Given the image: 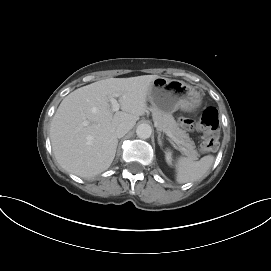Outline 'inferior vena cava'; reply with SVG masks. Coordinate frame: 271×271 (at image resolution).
<instances>
[{"mask_svg": "<svg viewBox=\"0 0 271 271\" xmlns=\"http://www.w3.org/2000/svg\"><path fill=\"white\" fill-rule=\"evenodd\" d=\"M133 125L131 123L123 122L120 123L116 128V136L118 138L123 137L125 134H127L131 129Z\"/></svg>", "mask_w": 271, "mask_h": 271, "instance_id": "inferior-vena-cava-1", "label": "inferior vena cava"}]
</instances>
